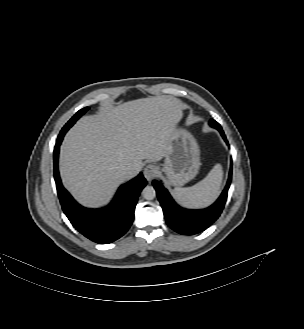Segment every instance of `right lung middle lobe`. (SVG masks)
Here are the masks:
<instances>
[{
  "mask_svg": "<svg viewBox=\"0 0 304 329\" xmlns=\"http://www.w3.org/2000/svg\"><path fill=\"white\" fill-rule=\"evenodd\" d=\"M89 110V107H85L81 110H79L67 123L66 125L62 128L60 133H66L70 127L87 111Z\"/></svg>",
  "mask_w": 304,
  "mask_h": 329,
  "instance_id": "1",
  "label": "right lung middle lobe"
}]
</instances>
